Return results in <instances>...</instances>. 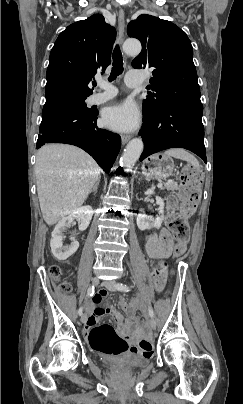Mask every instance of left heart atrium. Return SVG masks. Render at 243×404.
Returning <instances> with one entry per match:
<instances>
[{"label": "left heart atrium", "mask_w": 243, "mask_h": 404, "mask_svg": "<svg viewBox=\"0 0 243 404\" xmlns=\"http://www.w3.org/2000/svg\"><path fill=\"white\" fill-rule=\"evenodd\" d=\"M105 126L115 131H132L139 123V114L129 102L117 103L107 107L102 115Z\"/></svg>", "instance_id": "1"}]
</instances>
